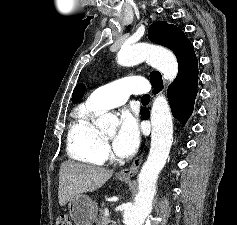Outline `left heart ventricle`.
<instances>
[{
	"mask_svg": "<svg viewBox=\"0 0 237 225\" xmlns=\"http://www.w3.org/2000/svg\"><path fill=\"white\" fill-rule=\"evenodd\" d=\"M104 135L107 140H111L115 137V130L105 133Z\"/></svg>",
	"mask_w": 237,
	"mask_h": 225,
	"instance_id": "b2bd125f",
	"label": "left heart ventricle"
}]
</instances>
